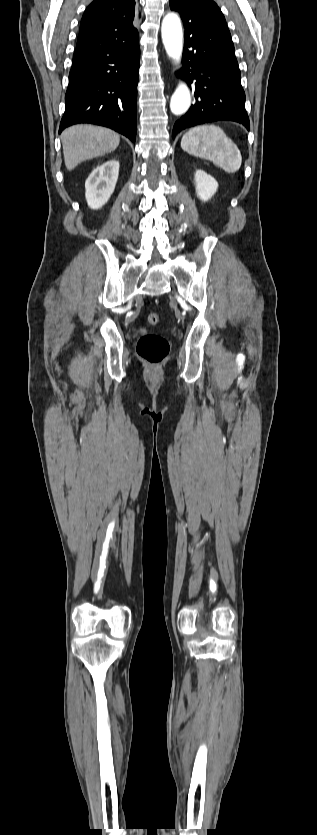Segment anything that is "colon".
<instances>
[{"label": "colon", "mask_w": 317, "mask_h": 835, "mask_svg": "<svg viewBox=\"0 0 317 835\" xmlns=\"http://www.w3.org/2000/svg\"><path fill=\"white\" fill-rule=\"evenodd\" d=\"M160 316L157 313H150L147 316V323L155 326L159 323ZM138 355L149 365L159 366L165 360L169 352L167 340L157 334H146L142 336L137 344Z\"/></svg>", "instance_id": "1"}]
</instances>
